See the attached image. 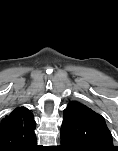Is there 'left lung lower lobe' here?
<instances>
[{"mask_svg": "<svg viewBox=\"0 0 118 151\" xmlns=\"http://www.w3.org/2000/svg\"><path fill=\"white\" fill-rule=\"evenodd\" d=\"M61 143L62 146L60 148L62 151H83L76 142L67 136L61 135Z\"/></svg>", "mask_w": 118, "mask_h": 151, "instance_id": "1", "label": "left lung lower lobe"}]
</instances>
